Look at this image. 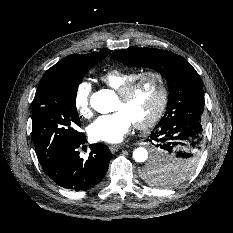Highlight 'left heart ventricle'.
Listing matches in <instances>:
<instances>
[{"label": "left heart ventricle", "mask_w": 233, "mask_h": 233, "mask_svg": "<svg viewBox=\"0 0 233 233\" xmlns=\"http://www.w3.org/2000/svg\"><path fill=\"white\" fill-rule=\"evenodd\" d=\"M158 86L153 78L147 77L138 82L128 98L117 96L114 109L128 113L133 122L148 118L158 102Z\"/></svg>", "instance_id": "1"}]
</instances>
